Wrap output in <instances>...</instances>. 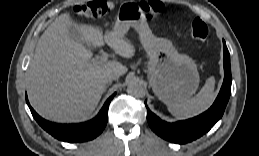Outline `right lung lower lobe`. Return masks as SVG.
Masks as SVG:
<instances>
[{"label":"right lung lower lobe","instance_id":"1","mask_svg":"<svg viewBox=\"0 0 259 156\" xmlns=\"http://www.w3.org/2000/svg\"><path fill=\"white\" fill-rule=\"evenodd\" d=\"M115 94L116 93L108 98L99 114L95 118L80 124H56L49 122L41 118L33 110L28 102L27 96L26 102L31 110L33 117L45 131L59 140L74 143L94 139L104 130L108 120V107Z\"/></svg>","mask_w":259,"mask_h":156}]
</instances>
